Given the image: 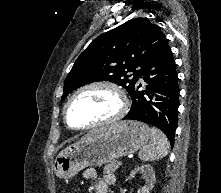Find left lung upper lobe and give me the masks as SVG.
I'll use <instances>...</instances> for the list:
<instances>
[{
	"instance_id": "left-lung-upper-lobe-1",
	"label": "left lung upper lobe",
	"mask_w": 221,
	"mask_h": 193,
	"mask_svg": "<svg viewBox=\"0 0 221 193\" xmlns=\"http://www.w3.org/2000/svg\"><path fill=\"white\" fill-rule=\"evenodd\" d=\"M166 43L160 27L148 18L129 20L101 34L76 59L61 100L74 89L96 81H111L131 95L143 67Z\"/></svg>"
}]
</instances>
